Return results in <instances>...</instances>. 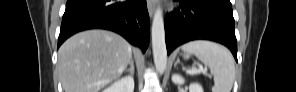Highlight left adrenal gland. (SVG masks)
<instances>
[{
	"label": "left adrenal gland",
	"mask_w": 296,
	"mask_h": 92,
	"mask_svg": "<svg viewBox=\"0 0 296 92\" xmlns=\"http://www.w3.org/2000/svg\"><path fill=\"white\" fill-rule=\"evenodd\" d=\"M179 63H180V59L177 58V60H176L175 63H174V67H176V65L179 64Z\"/></svg>",
	"instance_id": "obj_1"
}]
</instances>
